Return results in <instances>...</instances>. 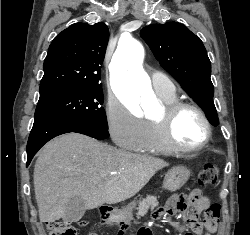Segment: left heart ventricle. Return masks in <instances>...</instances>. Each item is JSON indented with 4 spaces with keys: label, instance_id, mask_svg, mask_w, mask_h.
Returning <instances> with one entry per match:
<instances>
[{
    "label": "left heart ventricle",
    "instance_id": "left-heart-ventricle-1",
    "mask_svg": "<svg viewBox=\"0 0 250 235\" xmlns=\"http://www.w3.org/2000/svg\"><path fill=\"white\" fill-rule=\"evenodd\" d=\"M162 112L157 118L162 115ZM205 133V125L195 111L185 110L177 116L173 127V135L180 145L196 146L204 139Z\"/></svg>",
    "mask_w": 250,
    "mask_h": 235
}]
</instances>
